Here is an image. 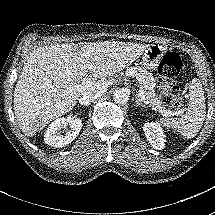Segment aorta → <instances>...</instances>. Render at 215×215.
Segmentation results:
<instances>
[{
	"instance_id": "aorta-1",
	"label": "aorta",
	"mask_w": 215,
	"mask_h": 215,
	"mask_svg": "<svg viewBox=\"0 0 215 215\" xmlns=\"http://www.w3.org/2000/svg\"><path fill=\"white\" fill-rule=\"evenodd\" d=\"M113 99L117 104H125L129 100V93L125 89H117L113 93Z\"/></svg>"
}]
</instances>
